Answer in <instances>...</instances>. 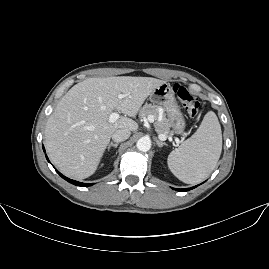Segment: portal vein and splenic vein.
<instances>
[{
    "instance_id": "18ae733b",
    "label": "portal vein and splenic vein",
    "mask_w": 269,
    "mask_h": 269,
    "mask_svg": "<svg viewBox=\"0 0 269 269\" xmlns=\"http://www.w3.org/2000/svg\"><path fill=\"white\" fill-rule=\"evenodd\" d=\"M125 96H126L125 94H119V95H118V98L122 99V98H124ZM117 119H119V114H118V113L113 112V113L110 114V116H109V122H110V123H114V122H116ZM148 122H149L150 124H153V123L155 122V119H154L153 115H148ZM158 138H159L161 141H165V140H167V135H165V134H159V135H158Z\"/></svg>"
}]
</instances>
